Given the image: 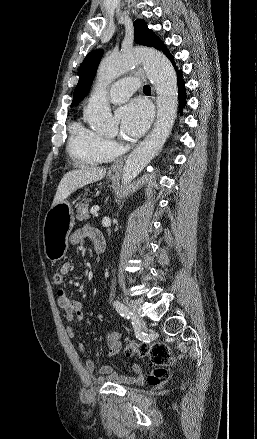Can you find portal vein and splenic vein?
I'll return each instance as SVG.
<instances>
[{
	"label": "portal vein and splenic vein",
	"mask_w": 257,
	"mask_h": 439,
	"mask_svg": "<svg viewBox=\"0 0 257 439\" xmlns=\"http://www.w3.org/2000/svg\"><path fill=\"white\" fill-rule=\"evenodd\" d=\"M99 209H100V207H99L98 205H95V206H93V207L90 209V213H91V214H97V212L99 211Z\"/></svg>",
	"instance_id": "obj_1"
}]
</instances>
